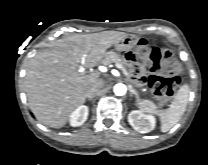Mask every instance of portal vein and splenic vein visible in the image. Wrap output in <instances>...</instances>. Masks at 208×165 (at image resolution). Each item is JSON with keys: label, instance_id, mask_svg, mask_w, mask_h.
I'll list each match as a JSON object with an SVG mask.
<instances>
[{"label": "portal vein and splenic vein", "instance_id": "obj_1", "mask_svg": "<svg viewBox=\"0 0 208 165\" xmlns=\"http://www.w3.org/2000/svg\"><path fill=\"white\" fill-rule=\"evenodd\" d=\"M115 66H116L118 69L122 70V71L127 75V72H126L125 68H124L121 64L116 63ZM79 71H80V72L84 71L83 66L80 67Z\"/></svg>", "mask_w": 208, "mask_h": 165}]
</instances>
